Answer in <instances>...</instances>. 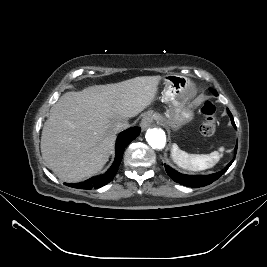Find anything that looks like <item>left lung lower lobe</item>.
<instances>
[{"label":"left lung lower lobe","instance_id":"0a47b994","mask_svg":"<svg viewBox=\"0 0 267 267\" xmlns=\"http://www.w3.org/2000/svg\"><path fill=\"white\" fill-rule=\"evenodd\" d=\"M210 91L213 92L214 90L210 89ZM227 111H228V115L231 118L233 126L236 127L232 114L230 113L229 110ZM236 151H237V146L235 147V153ZM233 160L226 166L225 169L217 173L211 174V175H196V176L183 175V174L178 173L177 171H175L168 165H165V170L167 174L171 177V179H173L175 182L179 184H182L184 186H189V187H203V186L211 184L212 182L217 180L219 177H221L230 167Z\"/></svg>","mask_w":267,"mask_h":267}]
</instances>
